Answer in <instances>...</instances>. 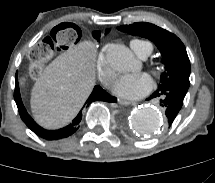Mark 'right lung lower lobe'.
I'll use <instances>...</instances> for the list:
<instances>
[{
	"label": "right lung lower lobe",
	"mask_w": 215,
	"mask_h": 183,
	"mask_svg": "<svg viewBox=\"0 0 215 183\" xmlns=\"http://www.w3.org/2000/svg\"><path fill=\"white\" fill-rule=\"evenodd\" d=\"M79 34H81L78 31ZM14 99L18 107L19 114L24 121V123L28 126L29 129H31L36 135H38L41 138H44L46 140H58L62 138H66L73 133H75L78 128L79 124L82 119V110L79 112V114L75 117V119L72 121L71 124L67 125L64 128L58 129V130H46L42 127H40L27 113L21 97H20V91H19V85H18V78L16 75V87L14 91ZM95 101H105V102H116L117 99L113 96H111L109 93H107L105 90H103L99 85L95 86L92 93L90 94L89 98L85 102L84 107H88L92 102Z\"/></svg>",
	"instance_id": "1"
}]
</instances>
